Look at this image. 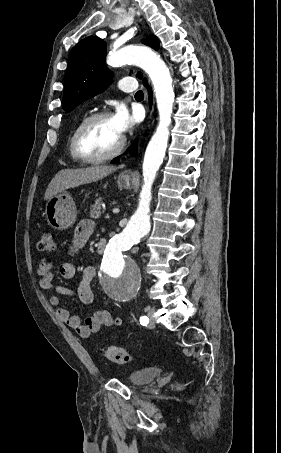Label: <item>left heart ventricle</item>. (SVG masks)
Here are the masks:
<instances>
[{
	"instance_id": "1",
	"label": "left heart ventricle",
	"mask_w": 281,
	"mask_h": 453,
	"mask_svg": "<svg viewBox=\"0 0 281 453\" xmlns=\"http://www.w3.org/2000/svg\"><path fill=\"white\" fill-rule=\"evenodd\" d=\"M121 134L111 118L92 124L82 142V150L89 157H97L112 151L120 142Z\"/></svg>"
}]
</instances>
